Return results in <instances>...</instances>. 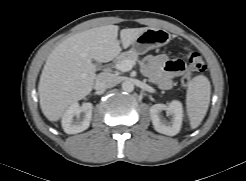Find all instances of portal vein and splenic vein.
I'll return each mask as SVG.
<instances>
[{
  "label": "portal vein and splenic vein",
  "mask_w": 246,
  "mask_h": 181,
  "mask_svg": "<svg viewBox=\"0 0 246 181\" xmlns=\"http://www.w3.org/2000/svg\"><path fill=\"white\" fill-rule=\"evenodd\" d=\"M135 62L131 60H124L123 62L116 64V68L122 72H128L132 69Z\"/></svg>",
  "instance_id": "18ae733b"
}]
</instances>
